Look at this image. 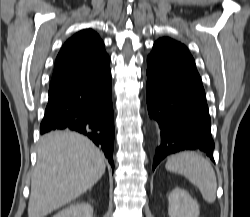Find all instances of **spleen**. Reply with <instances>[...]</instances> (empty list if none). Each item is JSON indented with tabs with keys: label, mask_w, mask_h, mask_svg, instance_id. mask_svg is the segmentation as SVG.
Returning a JSON list of instances; mask_svg holds the SVG:
<instances>
[{
	"label": "spleen",
	"mask_w": 250,
	"mask_h": 217,
	"mask_svg": "<svg viewBox=\"0 0 250 217\" xmlns=\"http://www.w3.org/2000/svg\"><path fill=\"white\" fill-rule=\"evenodd\" d=\"M166 169L185 176L208 203L216 200L217 180L210 162L196 152H180L168 158Z\"/></svg>",
	"instance_id": "spleen-1"
}]
</instances>
